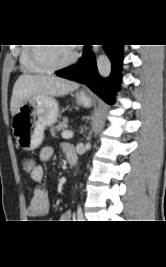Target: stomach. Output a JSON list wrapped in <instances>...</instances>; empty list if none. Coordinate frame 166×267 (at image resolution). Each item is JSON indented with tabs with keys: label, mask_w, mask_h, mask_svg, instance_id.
<instances>
[{
	"label": "stomach",
	"mask_w": 166,
	"mask_h": 267,
	"mask_svg": "<svg viewBox=\"0 0 166 267\" xmlns=\"http://www.w3.org/2000/svg\"><path fill=\"white\" fill-rule=\"evenodd\" d=\"M79 105L90 107L92 101L84 92L76 93ZM58 102L51 96H35L25 101L12 118L16 143L25 151L38 148L44 139V130L58 118Z\"/></svg>",
	"instance_id": "0dacf381"
}]
</instances>
